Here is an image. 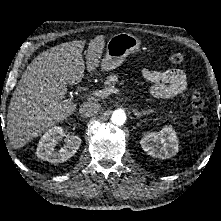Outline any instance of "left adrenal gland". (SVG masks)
<instances>
[{"instance_id":"left-adrenal-gland-1","label":"left adrenal gland","mask_w":221,"mask_h":221,"mask_svg":"<svg viewBox=\"0 0 221 221\" xmlns=\"http://www.w3.org/2000/svg\"><path fill=\"white\" fill-rule=\"evenodd\" d=\"M133 112H134L136 118L139 119L141 116L148 115V114L152 113L153 110L149 109V110L138 111L136 109H133Z\"/></svg>"}]
</instances>
